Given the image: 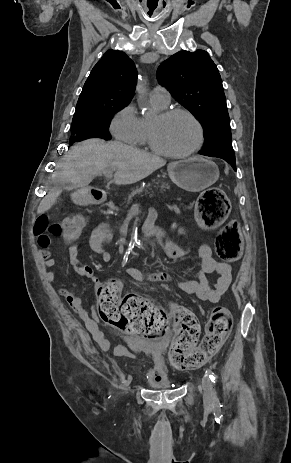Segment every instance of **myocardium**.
Returning a JSON list of instances; mask_svg holds the SVG:
<instances>
[{
  "instance_id": "myocardium-1",
  "label": "myocardium",
  "mask_w": 291,
  "mask_h": 463,
  "mask_svg": "<svg viewBox=\"0 0 291 463\" xmlns=\"http://www.w3.org/2000/svg\"><path fill=\"white\" fill-rule=\"evenodd\" d=\"M177 115H184V116L188 117L196 125L197 130H198V140H197L196 144L193 147H191L190 149H188L187 151H184V152L177 153V152L169 151V150L163 148L162 146H160L158 144L157 138H156L155 128L151 123H149V145L151 146V148L156 153H158L160 155H163V156H166V157H169V158L180 159V158L189 157V156L193 155L194 153H196L197 151H199L201 149V147L204 144V140H205V132H204V127H203L201 121L196 117V115L194 113H192L191 111H189L187 109H184V108H171V109H166L161 113V117L165 118V119H168V118H171V117H174V116H177Z\"/></svg>"
}]
</instances>
